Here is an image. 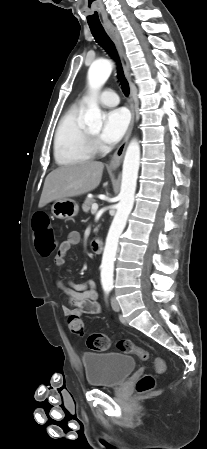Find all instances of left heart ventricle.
<instances>
[{"label": "left heart ventricle", "instance_id": "obj_1", "mask_svg": "<svg viewBox=\"0 0 207 449\" xmlns=\"http://www.w3.org/2000/svg\"><path fill=\"white\" fill-rule=\"evenodd\" d=\"M88 132L90 133V134H92L93 136H98V134H99V130L98 129H88Z\"/></svg>", "mask_w": 207, "mask_h": 449}]
</instances>
